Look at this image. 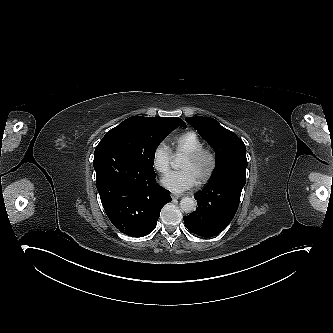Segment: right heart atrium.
Returning a JSON list of instances; mask_svg holds the SVG:
<instances>
[{
	"label": "right heart atrium",
	"instance_id": "right-heart-atrium-1",
	"mask_svg": "<svg viewBox=\"0 0 333 333\" xmlns=\"http://www.w3.org/2000/svg\"><path fill=\"white\" fill-rule=\"evenodd\" d=\"M173 164L170 151L163 146H159L154 153V167L159 172H166Z\"/></svg>",
	"mask_w": 333,
	"mask_h": 333
}]
</instances>
